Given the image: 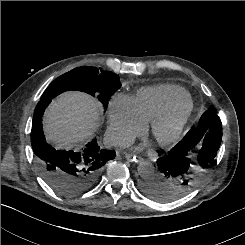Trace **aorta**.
<instances>
[{"label": "aorta", "mask_w": 245, "mask_h": 245, "mask_svg": "<svg viewBox=\"0 0 245 245\" xmlns=\"http://www.w3.org/2000/svg\"><path fill=\"white\" fill-rule=\"evenodd\" d=\"M137 170L139 175L144 179L151 177L154 173V167L152 163L149 161L140 162L137 167Z\"/></svg>", "instance_id": "obj_1"}]
</instances>
